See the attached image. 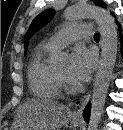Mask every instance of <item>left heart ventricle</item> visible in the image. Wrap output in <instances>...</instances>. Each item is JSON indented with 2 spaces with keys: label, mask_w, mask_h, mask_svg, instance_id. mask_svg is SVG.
<instances>
[{
  "label": "left heart ventricle",
  "mask_w": 123,
  "mask_h": 130,
  "mask_svg": "<svg viewBox=\"0 0 123 130\" xmlns=\"http://www.w3.org/2000/svg\"><path fill=\"white\" fill-rule=\"evenodd\" d=\"M57 72L64 77L65 79L69 80L68 73H69V67L68 65H63L57 69Z\"/></svg>",
  "instance_id": "left-heart-ventricle-1"
}]
</instances>
